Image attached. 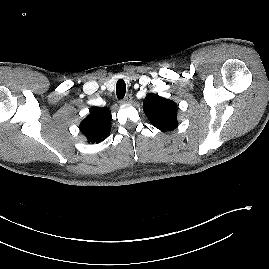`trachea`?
Instances as JSON below:
<instances>
[{
	"label": "trachea",
	"mask_w": 269,
	"mask_h": 269,
	"mask_svg": "<svg viewBox=\"0 0 269 269\" xmlns=\"http://www.w3.org/2000/svg\"><path fill=\"white\" fill-rule=\"evenodd\" d=\"M125 93H126V84L124 80L120 79L117 81L116 84V94L118 99H123L125 97Z\"/></svg>",
	"instance_id": "obj_1"
}]
</instances>
